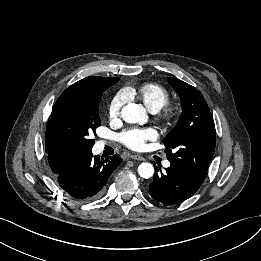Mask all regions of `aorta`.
<instances>
[{
  "instance_id": "1",
  "label": "aorta",
  "mask_w": 261,
  "mask_h": 261,
  "mask_svg": "<svg viewBox=\"0 0 261 261\" xmlns=\"http://www.w3.org/2000/svg\"><path fill=\"white\" fill-rule=\"evenodd\" d=\"M122 118L127 123H138L143 125L147 122L148 116L144 107L129 103L121 111ZM138 174L145 179L151 178L154 174V167L151 163L143 162L138 166Z\"/></svg>"
}]
</instances>
